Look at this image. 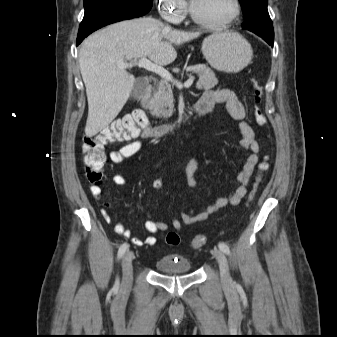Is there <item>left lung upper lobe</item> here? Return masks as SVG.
I'll use <instances>...</instances> for the list:
<instances>
[{"label": "left lung upper lobe", "instance_id": "left-lung-upper-lobe-1", "mask_svg": "<svg viewBox=\"0 0 337 337\" xmlns=\"http://www.w3.org/2000/svg\"><path fill=\"white\" fill-rule=\"evenodd\" d=\"M244 12V29H258L274 33L267 3L268 0H239Z\"/></svg>", "mask_w": 337, "mask_h": 337}]
</instances>
